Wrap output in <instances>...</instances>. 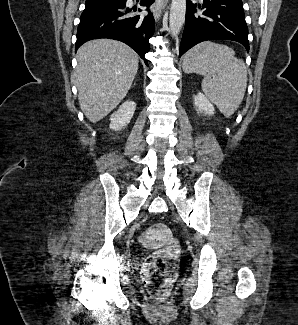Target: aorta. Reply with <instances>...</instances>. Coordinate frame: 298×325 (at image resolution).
I'll list each match as a JSON object with an SVG mask.
<instances>
[{
  "label": "aorta",
  "mask_w": 298,
  "mask_h": 325,
  "mask_svg": "<svg viewBox=\"0 0 298 325\" xmlns=\"http://www.w3.org/2000/svg\"><path fill=\"white\" fill-rule=\"evenodd\" d=\"M186 16V0H171L169 14L170 34L176 36L179 34Z\"/></svg>",
  "instance_id": "762f6f07"
}]
</instances>
